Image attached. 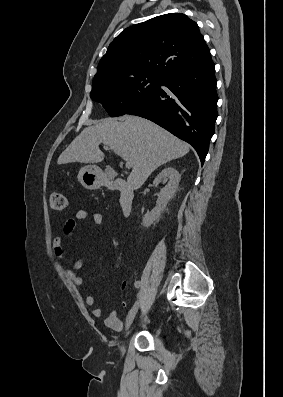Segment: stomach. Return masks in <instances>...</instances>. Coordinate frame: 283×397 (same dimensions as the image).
<instances>
[{
  "instance_id": "1",
  "label": "stomach",
  "mask_w": 283,
  "mask_h": 397,
  "mask_svg": "<svg viewBox=\"0 0 283 397\" xmlns=\"http://www.w3.org/2000/svg\"><path fill=\"white\" fill-rule=\"evenodd\" d=\"M107 174L96 165H86L78 173V180L83 187L95 190L104 185Z\"/></svg>"
}]
</instances>
